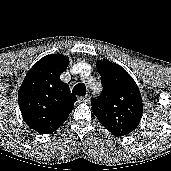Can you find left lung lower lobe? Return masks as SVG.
<instances>
[{
  "instance_id": "1",
  "label": "left lung lower lobe",
  "mask_w": 171,
  "mask_h": 171,
  "mask_svg": "<svg viewBox=\"0 0 171 171\" xmlns=\"http://www.w3.org/2000/svg\"><path fill=\"white\" fill-rule=\"evenodd\" d=\"M114 134L115 136L119 137V136H124V134H120V133H112Z\"/></svg>"
}]
</instances>
